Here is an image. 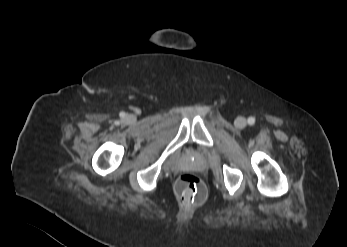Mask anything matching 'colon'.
<instances>
[{
  "label": "colon",
  "mask_w": 347,
  "mask_h": 247,
  "mask_svg": "<svg viewBox=\"0 0 347 247\" xmlns=\"http://www.w3.org/2000/svg\"><path fill=\"white\" fill-rule=\"evenodd\" d=\"M177 195L182 202L202 203L206 197L203 182L194 174L182 175L175 186Z\"/></svg>",
  "instance_id": "colon-1"
}]
</instances>
